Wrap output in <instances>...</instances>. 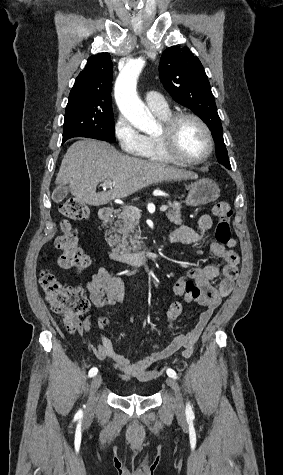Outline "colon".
I'll return each mask as SVG.
<instances>
[{
	"label": "colon",
	"instance_id": "1",
	"mask_svg": "<svg viewBox=\"0 0 283 475\" xmlns=\"http://www.w3.org/2000/svg\"><path fill=\"white\" fill-rule=\"evenodd\" d=\"M60 211L66 218L80 221L86 220L90 213L87 204L75 199H67L61 205ZM212 212L216 218L213 227L215 239L221 244H226L231 239V207L226 201L218 200L212 204ZM77 236L78 230L66 225L64 233L56 239V247L62 252L58 258L59 266L62 269L81 272L89 265V258L79 247ZM39 282L46 294L49 306L55 313L63 317L65 330L67 332L78 331L82 326V317L89 313V302L82 286L64 284L48 271L40 273ZM184 286L187 290L185 302L192 304L200 294V288L193 285L190 280L185 281ZM181 310L182 305L178 302L168 307L167 319L170 326L175 325Z\"/></svg>",
	"mask_w": 283,
	"mask_h": 475
}]
</instances>
